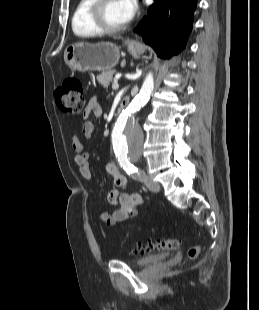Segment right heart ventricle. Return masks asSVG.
Returning a JSON list of instances; mask_svg holds the SVG:
<instances>
[{"mask_svg": "<svg viewBox=\"0 0 259 310\" xmlns=\"http://www.w3.org/2000/svg\"><path fill=\"white\" fill-rule=\"evenodd\" d=\"M94 0H79L72 16V30L75 35L82 38L94 37L99 32L89 19V10Z\"/></svg>", "mask_w": 259, "mask_h": 310, "instance_id": "1", "label": "right heart ventricle"}]
</instances>
